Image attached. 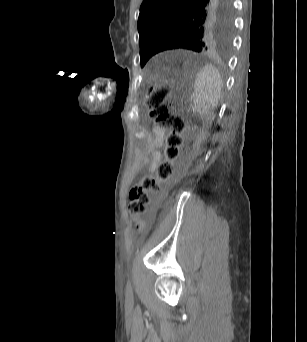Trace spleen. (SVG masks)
<instances>
[{
	"label": "spleen",
	"mask_w": 307,
	"mask_h": 342,
	"mask_svg": "<svg viewBox=\"0 0 307 342\" xmlns=\"http://www.w3.org/2000/svg\"><path fill=\"white\" fill-rule=\"evenodd\" d=\"M222 86L221 74L212 64H207L196 74L192 96L195 114H215Z\"/></svg>",
	"instance_id": "3e777b00"
}]
</instances>
